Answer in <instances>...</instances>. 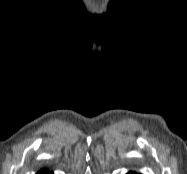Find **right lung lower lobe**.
I'll return each instance as SVG.
<instances>
[{
	"label": "right lung lower lobe",
	"mask_w": 187,
	"mask_h": 174,
	"mask_svg": "<svg viewBox=\"0 0 187 174\" xmlns=\"http://www.w3.org/2000/svg\"><path fill=\"white\" fill-rule=\"evenodd\" d=\"M42 174H49L48 170L46 172H43ZM50 174H53L52 172Z\"/></svg>",
	"instance_id": "obj_1"
}]
</instances>
